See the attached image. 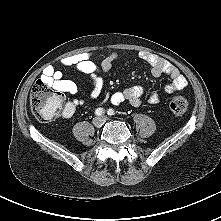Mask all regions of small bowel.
I'll list each match as a JSON object with an SVG mask.
<instances>
[{
	"mask_svg": "<svg viewBox=\"0 0 221 221\" xmlns=\"http://www.w3.org/2000/svg\"><path fill=\"white\" fill-rule=\"evenodd\" d=\"M117 54H111L104 58L100 65L95 64L89 58L88 53H78L66 56L59 61L62 67H74L77 71L86 74L91 80V89L89 97L91 99H98L104 88L103 74H108L112 69V63L117 59ZM138 57L149 64L151 74L155 77L166 74L170 77L171 81L166 86V92L179 91L187 86V79L180 73L178 68L171 64L166 59L157 56L147 51L138 53ZM40 82L47 84L57 91H61L70 95H76L78 92L77 84L69 79H66L63 72L54 65L47 66L41 76ZM145 90L140 86H131L122 91H117L111 95V102L113 104H120L121 102L128 101L133 106H139L141 97L144 95ZM149 102L156 104L159 102V95L155 92L149 96ZM84 103L81 98H73L66 102L63 116L69 118L73 116L76 108Z\"/></svg>",
	"mask_w": 221,
	"mask_h": 221,
	"instance_id": "small-bowel-1",
	"label": "small bowel"
}]
</instances>
